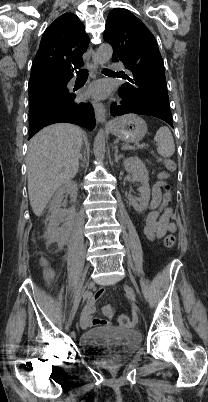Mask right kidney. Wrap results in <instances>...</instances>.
I'll list each match as a JSON object with an SVG mask.
<instances>
[{
	"mask_svg": "<svg viewBox=\"0 0 208 402\" xmlns=\"http://www.w3.org/2000/svg\"><path fill=\"white\" fill-rule=\"evenodd\" d=\"M77 192L78 188L76 182H66L64 186L59 188L55 196H53L50 204L51 214L48 218V226L45 232L48 242H57L59 246H65L71 234V230L68 224H63L61 228H59V226L61 222H65V218H68V216H70V218L75 216L76 210L74 206L68 208V210H62L61 204L62 200L65 198L64 194H70L73 202H75Z\"/></svg>",
	"mask_w": 208,
	"mask_h": 402,
	"instance_id": "ca27d5eb",
	"label": "right kidney"
}]
</instances>
